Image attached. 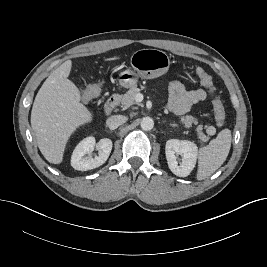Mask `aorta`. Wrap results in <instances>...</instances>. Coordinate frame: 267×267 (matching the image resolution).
<instances>
[{
    "instance_id": "1",
    "label": "aorta",
    "mask_w": 267,
    "mask_h": 267,
    "mask_svg": "<svg viewBox=\"0 0 267 267\" xmlns=\"http://www.w3.org/2000/svg\"><path fill=\"white\" fill-rule=\"evenodd\" d=\"M140 126L142 130L150 131L154 127V121L151 117H143Z\"/></svg>"
}]
</instances>
